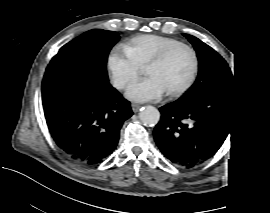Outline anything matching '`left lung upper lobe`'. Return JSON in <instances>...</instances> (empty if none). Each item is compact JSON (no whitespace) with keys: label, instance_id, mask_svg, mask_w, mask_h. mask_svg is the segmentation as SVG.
Here are the masks:
<instances>
[{"label":"left lung upper lobe","instance_id":"1","mask_svg":"<svg viewBox=\"0 0 270 213\" xmlns=\"http://www.w3.org/2000/svg\"><path fill=\"white\" fill-rule=\"evenodd\" d=\"M183 35L197 52L199 73L195 83L181 98L197 99L235 83L227 62L215 50L192 35Z\"/></svg>","mask_w":270,"mask_h":213}]
</instances>
